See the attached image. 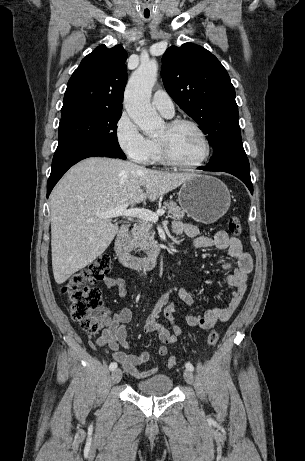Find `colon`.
Instances as JSON below:
<instances>
[{
  "instance_id": "obj_1",
  "label": "colon",
  "mask_w": 305,
  "mask_h": 461,
  "mask_svg": "<svg viewBox=\"0 0 305 461\" xmlns=\"http://www.w3.org/2000/svg\"><path fill=\"white\" fill-rule=\"evenodd\" d=\"M228 229L235 235H240L242 227L237 217H230L227 221ZM111 260L107 255H100L89 265L68 277L62 284V292L73 320L84 330L95 334L105 327L107 311L102 308L103 298L101 290L94 283L104 279L110 271ZM217 332H211L207 337L210 346L218 342ZM177 364L175 357H170L167 367L173 368Z\"/></svg>"
}]
</instances>
